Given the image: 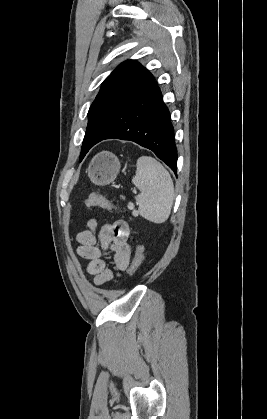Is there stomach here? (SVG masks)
Wrapping results in <instances>:
<instances>
[{"mask_svg": "<svg viewBox=\"0 0 267 419\" xmlns=\"http://www.w3.org/2000/svg\"><path fill=\"white\" fill-rule=\"evenodd\" d=\"M120 166V161L115 154L102 151L91 159L87 173L94 184L103 186L115 180Z\"/></svg>", "mask_w": 267, "mask_h": 419, "instance_id": "obj_1", "label": "stomach"}]
</instances>
